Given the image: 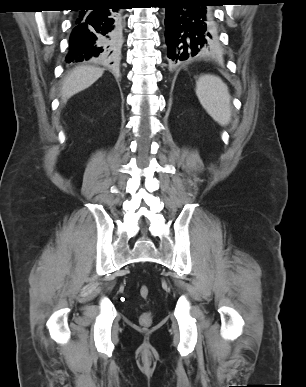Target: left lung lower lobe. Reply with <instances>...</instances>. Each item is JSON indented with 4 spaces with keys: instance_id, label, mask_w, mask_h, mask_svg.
Listing matches in <instances>:
<instances>
[{
    "instance_id": "obj_1",
    "label": "left lung lower lobe",
    "mask_w": 306,
    "mask_h": 387,
    "mask_svg": "<svg viewBox=\"0 0 306 387\" xmlns=\"http://www.w3.org/2000/svg\"><path fill=\"white\" fill-rule=\"evenodd\" d=\"M167 56L176 67L203 56L215 42L212 31L214 0H163Z\"/></svg>"
}]
</instances>
